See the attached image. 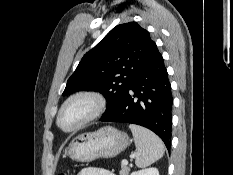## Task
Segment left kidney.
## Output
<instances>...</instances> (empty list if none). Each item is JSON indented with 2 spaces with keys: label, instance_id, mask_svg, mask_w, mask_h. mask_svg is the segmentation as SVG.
I'll return each instance as SVG.
<instances>
[{
  "label": "left kidney",
  "instance_id": "obj_1",
  "mask_svg": "<svg viewBox=\"0 0 233 175\" xmlns=\"http://www.w3.org/2000/svg\"><path fill=\"white\" fill-rule=\"evenodd\" d=\"M131 175H159V171L157 168L152 167L132 172Z\"/></svg>",
  "mask_w": 233,
  "mask_h": 175
}]
</instances>
